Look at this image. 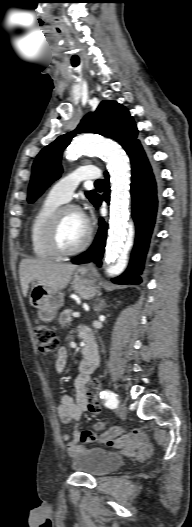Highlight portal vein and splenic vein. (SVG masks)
Segmentation results:
<instances>
[{
  "mask_svg": "<svg viewBox=\"0 0 192 527\" xmlns=\"http://www.w3.org/2000/svg\"><path fill=\"white\" fill-rule=\"evenodd\" d=\"M72 316L75 317V318H78V317H80V313H78V312H74V313L72 314Z\"/></svg>",
  "mask_w": 192,
  "mask_h": 527,
  "instance_id": "portal-vein-and-splenic-vein-1",
  "label": "portal vein and splenic vein"
}]
</instances>
